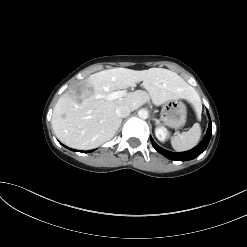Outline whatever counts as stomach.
<instances>
[{
    "mask_svg": "<svg viewBox=\"0 0 247 247\" xmlns=\"http://www.w3.org/2000/svg\"><path fill=\"white\" fill-rule=\"evenodd\" d=\"M186 105L179 99L168 101L161 110V120L170 128H180L186 123Z\"/></svg>",
    "mask_w": 247,
    "mask_h": 247,
    "instance_id": "0dacf381",
    "label": "stomach"
}]
</instances>
